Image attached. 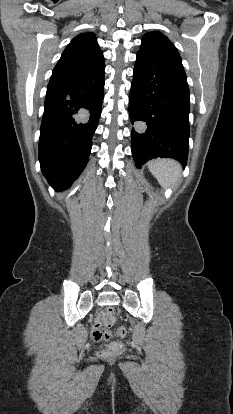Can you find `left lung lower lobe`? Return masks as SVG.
Wrapping results in <instances>:
<instances>
[{
  "label": "left lung lower lobe",
  "mask_w": 233,
  "mask_h": 414,
  "mask_svg": "<svg viewBox=\"0 0 233 414\" xmlns=\"http://www.w3.org/2000/svg\"><path fill=\"white\" fill-rule=\"evenodd\" d=\"M189 88L183 67L137 54L129 96L132 154L137 167L157 157L186 165Z\"/></svg>",
  "instance_id": "0a47b994"
}]
</instances>
